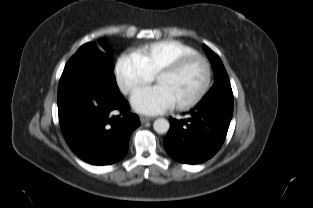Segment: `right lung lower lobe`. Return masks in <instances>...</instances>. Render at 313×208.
<instances>
[{
	"label": "right lung lower lobe",
	"mask_w": 313,
	"mask_h": 208,
	"mask_svg": "<svg viewBox=\"0 0 313 208\" xmlns=\"http://www.w3.org/2000/svg\"><path fill=\"white\" fill-rule=\"evenodd\" d=\"M57 104L68 146L90 164L108 165L122 159L132 131L140 125L138 116L129 113L113 71L92 58L80 57L64 68ZM116 111L120 115L112 116Z\"/></svg>",
	"instance_id": "1"
}]
</instances>
